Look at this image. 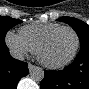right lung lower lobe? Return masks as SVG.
Segmentation results:
<instances>
[{
	"mask_svg": "<svg viewBox=\"0 0 89 89\" xmlns=\"http://www.w3.org/2000/svg\"><path fill=\"white\" fill-rule=\"evenodd\" d=\"M7 46H0V89H15L19 80L29 73L27 63L11 57Z\"/></svg>",
	"mask_w": 89,
	"mask_h": 89,
	"instance_id": "1",
	"label": "right lung lower lobe"
}]
</instances>
